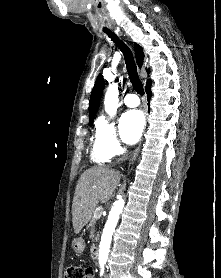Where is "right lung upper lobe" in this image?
Instances as JSON below:
<instances>
[{"label": "right lung upper lobe", "instance_id": "right-lung-upper-lobe-1", "mask_svg": "<svg viewBox=\"0 0 221 278\" xmlns=\"http://www.w3.org/2000/svg\"><path fill=\"white\" fill-rule=\"evenodd\" d=\"M134 48H135V57H136L137 64L139 67H141L144 62L143 49L141 46L137 44L134 45ZM147 72H149V70H147ZM149 81L150 80H148V82ZM103 89H104V79L103 76L99 74L90 96V102H89V123L90 124L93 123L96 112L98 110Z\"/></svg>", "mask_w": 221, "mask_h": 278}]
</instances>
